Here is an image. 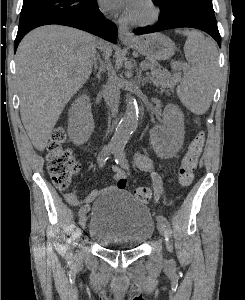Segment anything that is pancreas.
Instances as JSON below:
<instances>
[{
    "label": "pancreas",
    "instance_id": "1",
    "mask_svg": "<svg viewBox=\"0 0 245 300\" xmlns=\"http://www.w3.org/2000/svg\"><path fill=\"white\" fill-rule=\"evenodd\" d=\"M144 63L148 64V68L151 71L150 80L154 85L161 87V89L170 88L172 89L174 85L179 82L180 74L176 73L173 76L165 71L157 68V62L154 60H147ZM178 66H175V70H179Z\"/></svg>",
    "mask_w": 245,
    "mask_h": 300
}]
</instances>
